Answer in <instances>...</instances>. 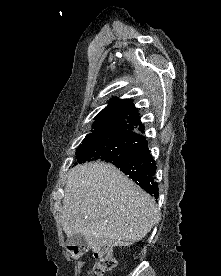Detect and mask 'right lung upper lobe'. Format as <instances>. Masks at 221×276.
<instances>
[{
  "label": "right lung upper lobe",
  "instance_id": "cb5924a9",
  "mask_svg": "<svg viewBox=\"0 0 221 276\" xmlns=\"http://www.w3.org/2000/svg\"><path fill=\"white\" fill-rule=\"evenodd\" d=\"M95 119L94 131L85 138L110 133H121L144 138L134 131V126L139 124V130L144 133V126L140 121L137 108H135L130 99L112 98L109 105Z\"/></svg>",
  "mask_w": 221,
  "mask_h": 276
}]
</instances>
